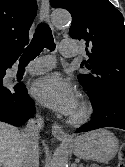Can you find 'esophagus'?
<instances>
[{"label": "esophagus", "mask_w": 125, "mask_h": 167, "mask_svg": "<svg viewBox=\"0 0 125 167\" xmlns=\"http://www.w3.org/2000/svg\"><path fill=\"white\" fill-rule=\"evenodd\" d=\"M49 14H50L49 0H42L41 7H40V13H39V19L44 22H49ZM52 135L58 140H64V139L71 138L70 135L65 133L63 128L57 123H54L52 125Z\"/></svg>", "instance_id": "esophagus-1"}]
</instances>
